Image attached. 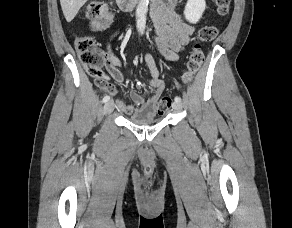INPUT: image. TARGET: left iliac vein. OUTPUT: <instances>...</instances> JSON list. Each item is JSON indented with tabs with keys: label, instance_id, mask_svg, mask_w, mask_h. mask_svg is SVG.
I'll return each instance as SVG.
<instances>
[{
	"label": "left iliac vein",
	"instance_id": "4c4485c4",
	"mask_svg": "<svg viewBox=\"0 0 292 228\" xmlns=\"http://www.w3.org/2000/svg\"><path fill=\"white\" fill-rule=\"evenodd\" d=\"M173 109H175V110H177V111H179V110H181L182 109V104H181V102H174L173 103Z\"/></svg>",
	"mask_w": 292,
	"mask_h": 228
}]
</instances>
